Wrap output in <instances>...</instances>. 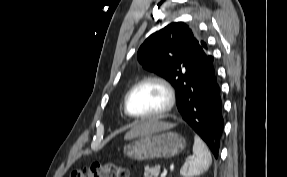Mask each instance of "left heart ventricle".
<instances>
[{"instance_id": "b2bd125f", "label": "left heart ventricle", "mask_w": 287, "mask_h": 177, "mask_svg": "<svg viewBox=\"0 0 287 177\" xmlns=\"http://www.w3.org/2000/svg\"><path fill=\"white\" fill-rule=\"evenodd\" d=\"M166 102L164 90L153 83L138 87L131 95L129 109L134 115H147L159 111Z\"/></svg>"}]
</instances>
